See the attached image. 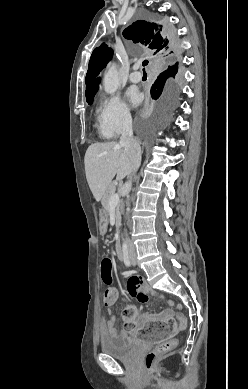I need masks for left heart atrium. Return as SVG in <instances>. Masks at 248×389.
Returning a JSON list of instances; mask_svg holds the SVG:
<instances>
[{"instance_id":"obj_1","label":"left heart atrium","mask_w":248,"mask_h":389,"mask_svg":"<svg viewBox=\"0 0 248 389\" xmlns=\"http://www.w3.org/2000/svg\"><path fill=\"white\" fill-rule=\"evenodd\" d=\"M126 98L132 106L138 105L140 103V100H141L138 92L135 90H132V89L127 91Z\"/></svg>"}]
</instances>
